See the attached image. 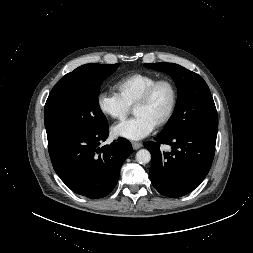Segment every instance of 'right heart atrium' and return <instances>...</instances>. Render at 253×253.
Returning a JSON list of instances; mask_svg holds the SVG:
<instances>
[{"instance_id":"right-heart-atrium-1","label":"right heart atrium","mask_w":253,"mask_h":253,"mask_svg":"<svg viewBox=\"0 0 253 253\" xmlns=\"http://www.w3.org/2000/svg\"><path fill=\"white\" fill-rule=\"evenodd\" d=\"M97 106L106 117L114 120H123L130 111V107L112 91H103L98 94Z\"/></svg>"}]
</instances>
